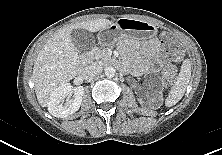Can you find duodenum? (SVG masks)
Returning <instances> with one entry per match:
<instances>
[{
	"label": "duodenum",
	"mask_w": 222,
	"mask_h": 155,
	"mask_svg": "<svg viewBox=\"0 0 222 155\" xmlns=\"http://www.w3.org/2000/svg\"><path fill=\"white\" fill-rule=\"evenodd\" d=\"M89 58H90L89 56H86L80 61L79 66H78V74H80V72L82 71L86 63L88 62Z\"/></svg>",
	"instance_id": "410a0bca"
}]
</instances>
